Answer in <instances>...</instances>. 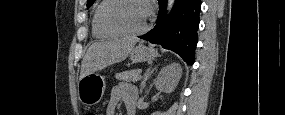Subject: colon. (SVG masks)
Here are the masks:
<instances>
[{"instance_id":"colon-1","label":"colon","mask_w":285,"mask_h":115,"mask_svg":"<svg viewBox=\"0 0 285 115\" xmlns=\"http://www.w3.org/2000/svg\"><path fill=\"white\" fill-rule=\"evenodd\" d=\"M88 115H96L95 112H89Z\"/></svg>"}]
</instances>
